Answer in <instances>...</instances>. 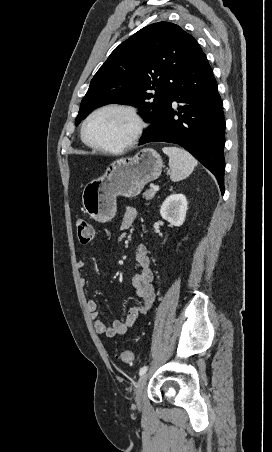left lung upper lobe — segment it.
<instances>
[{"mask_svg": "<svg viewBox=\"0 0 272 452\" xmlns=\"http://www.w3.org/2000/svg\"><path fill=\"white\" fill-rule=\"evenodd\" d=\"M197 45L194 37L173 23L142 28L121 43L97 71L75 124L111 103L137 106L144 120L153 124L166 109L173 85Z\"/></svg>", "mask_w": 272, "mask_h": 452, "instance_id": "left-lung-upper-lobe-1", "label": "left lung upper lobe"}]
</instances>
